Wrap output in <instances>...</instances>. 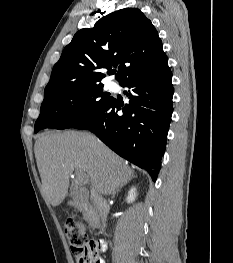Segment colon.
Masks as SVG:
<instances>
[{
	"label": "colon",
	"mask_w": 233,
	"mask_h": 263,
	"mask_svg": "<svg viewBox=\"0 0 233 263\" xmlns=\"http://www.w3.org/2000/svg\"><path fill=\"white\" fill-rule=\"evenodd\" d=\"M65 234L72 254L79 263H99V243L89 238L83 224L75 220L65 223Z\"/></svg>",
	"instance_id": "1"
}]
</instances>
